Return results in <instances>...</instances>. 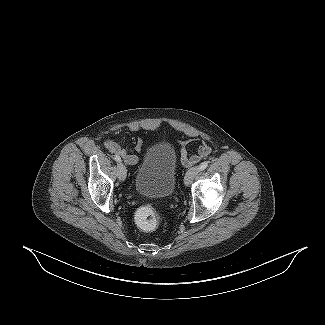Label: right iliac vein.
<instances>
[{
    "label": "right iliac vein",
    "instance_id": "63e3f726",
    "mask_svg": "<svg viewBox=\"0 0 325 325\" xmlns=\"http://www.w3.org/2000/svg\"><path fill=\"white\" fill-rule=\"evenodd\" d=\"M117 174L120 181H124L127 175L126 167L123 163L119 162L117 165Z\"/></svg>",
    "mask_w": 325,
    "mask_h": 325
}]
</instances>
